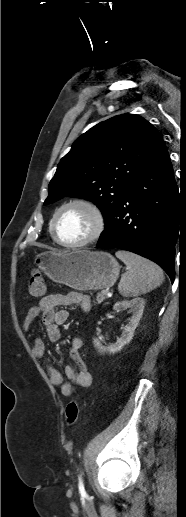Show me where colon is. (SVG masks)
<instances>
[{
    "mask_svg": "<svg viewBox=\"0 0 186 517\" xmlns=\"http://www.w3.org/2000/svg\"><path fill=\"white\" fill-rule=\"evenodd\" d=\"M28 292L32 298L42 297L45 292V282L42 274L38 270H34L31 273ZM79 416V403L77 399L71 400L66 407V422L69 425H73Z\"/></svg>",
    "mask_w": 186,
    "mask_h": 517,
    "instance_id": "colon-1",
    "label": "colon"
}]
</instances>
